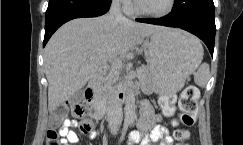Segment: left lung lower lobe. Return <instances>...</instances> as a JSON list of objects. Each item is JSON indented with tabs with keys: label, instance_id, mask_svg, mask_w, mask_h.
Returning a JSON list of instances; mask_svg holds the SVG:
<instances>
[{
	"label": "left lung lower lobe",
	"instance_id": "left-lung-lower-lobe-1",
	"mask_svg": "<svg viewBox=\"0 0 243 145\" xmlns=\"http://www.w3.org/2000/svg\"><path fill=\"white\" fill-rule=\"evenodd\" d=\"M139 22L164 25L168 27L182 28L188 32L193 33L207 45L211 55L213 56L214 38L216 33L215 22H201L187 19L180 13L173 10L171 13L162 18L157 19H137Z\"/></svg>",
	"mask_w": 243,
	"mask_h": 145
}]
</instances>
